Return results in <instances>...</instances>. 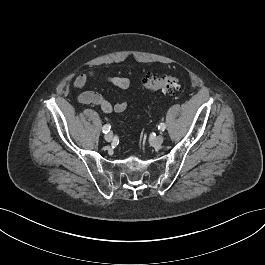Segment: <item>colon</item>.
Wrapping results in <instances>:
<instances>
[{
  "label": "colon",
  "mask_w": 265,
  "mask_h": 265,
  "mask_svg": "<svg viewBox=\"0 0 265 265\" xmlns=\"http://www.w3.org/2000/svg\"><path fill=\"white\" fill-rule=\"evenodd\" d=\"M143 86L150 91H163L173 93L181 89L179 79L172 75L166 74L162 77L155 76L152 73H147L142 79Z\"/></svg>",
  "instance_id": "5ec220e1"
}]
</instances>
